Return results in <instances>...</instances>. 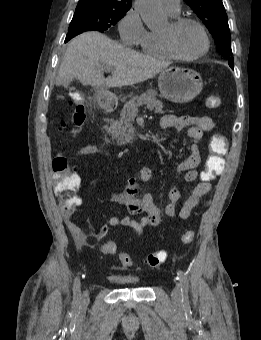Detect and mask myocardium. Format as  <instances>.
<instances>
[{"label": "myocardium", "instance_id": "f54148a6", "mask_svg": "<svg viewBox=\"0 0 261 340\" xmlns=\"http://www.w3.org/2000/svg\"><path fill=\"white\" fill-rule=\"evenodd\" d=\"M191 23L194 24L195 26L198 27V29L201 31L203 38H204V47L203 49L192 56H186L180 54L177 49L174 46V41H173V33L176 29L181 27L184 24ZM161 39L163 42V45L166 49V51L174 58L179 59L181 61H186V62H191L200 59L204 55L207 54V52L210 49V38L208 35V32L204 25L197 19L192 18V17H175L173 18L170 23H169V29L165 32H161Z\"/></svg>", "mask_w": 261, "mask_h": 340}]
</instances>
